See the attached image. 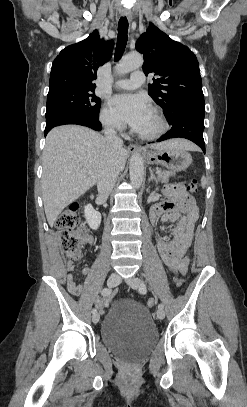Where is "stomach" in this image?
<instances>
[{
	"instance_id": "stomach-1",
	"label": "stomach",
	"mask_w": 247,
	"mask_h": 407,
	"mask_svg": "<svg viewBox=\"0 0 247 407\" xmlns=\"http://www.w3.org/2000/svg\"><path fill=\"white\" fill-rule=\"evenodd\" d=\"M144 157L149 164L161 165L177 172L186 170L192 163L189 152L174 148L146 150Z\"/></svg>"
}]
</instances>
